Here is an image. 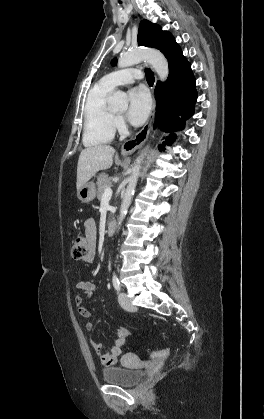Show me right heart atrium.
<instances>
[{
  "label": "right heart atrium",
  "instance_id": "right-heart-atrium-1",
  "mask_svg": "<svg viewBox=\"0 0 264 419\" xmlns=\"http://www.w3.org/2000/svg\"><path fill=\"white\" fill-rule=\"evenodd\" d=\"M115 126H116V129L119 130L120 132L126 129V123L123 117L117 116L115 118Z\"/></svg>",
  "mask_w": 264,
  "mask_h": 419
}]
</instances>
